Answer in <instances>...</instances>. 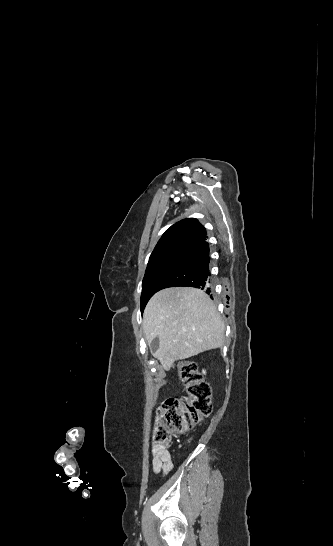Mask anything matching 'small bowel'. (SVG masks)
<instances>
[{
    "label": "small bowel",
    "instance_id": "obj_1",
    "mask_svg": "<svg viewBox=\"0 0 333 546\" xmlns=\"http://www.w3.org/2000/svg\"><path fill=\"white\" fill-rule=\"evenodd\" d=\"M151 465L152 472L154 474H161L162 476L168 474L172 468L173 463L171 456L166 447H162L154 444L151 449Z\"/></svg>",
    "mask_w": 333,
    "mask_h": 546
}]
</instances>
